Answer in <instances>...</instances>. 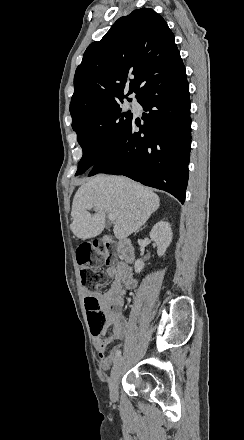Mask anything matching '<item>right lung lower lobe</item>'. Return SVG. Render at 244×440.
Instances as JSON below:
<instances>
[{
    "mask_svg": "<svg viewBox=\"0 0 244 440\" xmlns=\"http://www.w3.org/2000/svg\"><path fill=\"white\" fill-rule=\"evenodd\" d=\"M137 100L144 124L134 120L92 166L98 173L124 175L185 201L191 146L189 85L182 64L161 69ZM139 127V131L138 128Z\"/></svg>",
    "mask_w": 244,
    "mask_h": 440,
    "instance_id": "98d812e1",
    "label": "right lung lower lobe"
}]
</instances>
